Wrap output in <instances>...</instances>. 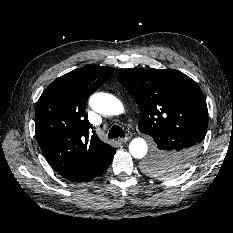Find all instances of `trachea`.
I'll list each match as a JSON object with an SVG mask.
<instances>
[{
	"label": "trachea",
	"mask_w": 233,
	"mask_h": 233,
	"mask_svg": "<svg viewBox=\"0 0 233 233\" xmlns=\"http://www.w3.org/2000/svg\"><path fill=\"white\" fill-rule=\"evenodd\" d=\"M108 137L113 139V138H117V137H125V133L124 130L119 127L118 125H114L108 133Z\"/></svg>",
	"instance_id": "trachea-1"
}]
</instances>
